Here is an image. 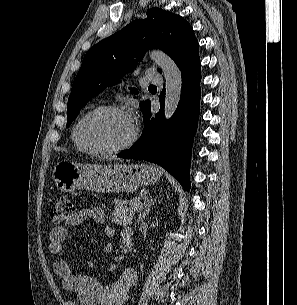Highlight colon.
<instances>
[{
  "mask_svg": "<svg viewBox=\"0 0 297 305\" xmlns=\"http://www.w3.org/2000/svg\"><path fill=\"white\" fill-rule=\"evenodd\" d=\"M75 211L74 203L68 198L60 196L55 201L50 218L56 224L64 223L74 217Z\"/></svg>",
  "mask_w": 297,
  "mask_h": 305,
  "instance_id": "obj_1",
  "label": "colon"
}]
</instances>
